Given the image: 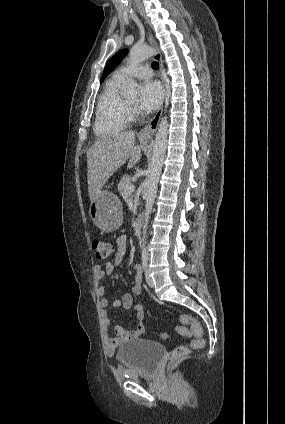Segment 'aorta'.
<instances>
[{
	"label": "aorta",
	"instance_id": "obj_1",
	"mask_svg": "<svg viewBox=\"0 0 285 424\" xmlns=\"http://www.w3.org/2000/svg\"><path fill=\"white\" fill-rule=\"evenodd\" d=\"M155 50L148 46L137 47L134 46L129 52L128 62L132 65H137L144 60L152 57ZM139 91V85L133 79H129L126 86L127 95H135ZM168 137V121L167 117H162L158 130L155 135V143L153 148V156L148 167V174L145 180L146 183V204H145V220L143 225V237L141 242L145 244V237L147 234L148 222L150 214L154 205L158 182L163 167V162L166 153V144Z\"/></svg>",
	"mask_w": 285,
	"mask_h": 424
}]
</instances>
